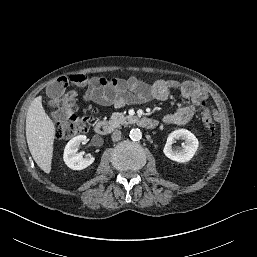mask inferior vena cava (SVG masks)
<instances>
[{
	"mask_svg": "<svg viewBox=\"0 0 257 257\" xmlns=\"http://www.w3.org/2000/svg\"><path fill=\"white\" fill-rule=\"evenodd\" d=\"M121 131L120 130H115L113 133H112V141H119L121 139Z\"/></svg>",
	"mask_w": 257,
	"mask_h": 257,
	"instance_id": "1",
	"label": "inferior vena cava"
}]
</instances>
